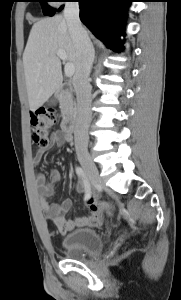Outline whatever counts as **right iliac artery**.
Listing matches in <instances>:
<instances>
[{
  "label": "right iliac artery",
  "instance_id": "right-iliac-artery-1",
  "mask_svg": "<svg viewBox=\"0 0 181 300\" xmlns=\"http://www.w3.org/2000/svg\"><path fill=\"white\" fill-rule=\"evenodd\" d=\"M76 174L78 175V177L83 181L84 187H85V192H86V196H90L91 194V187H90V183L89 180L87 179L84 170L80 167L77 166L76 169Z\"/></svg>",
  "mask_w": 181,
  "mask_h": 300
}]
</instances>
